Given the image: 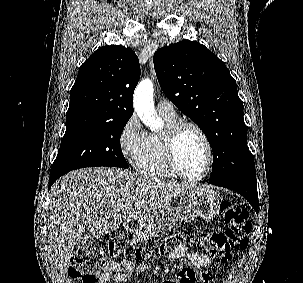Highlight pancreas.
<instances>
[{
	"instance_id": "obj_1",
	"label": "pancreas",
	"mask_w": 303,
	"mask_h": 283,
	"mask_svg": "<svg viewBox=\"0 0 303 283\" xmlns=\"http://www.w3.org/2000/svg\"><path fill=\"white\" fill-rule=\"evenodd\" d=\"M137 238H143V239H145V240H148L149 239V236H146V235H144V234H142V233H138L137 235Z\"/></svg>"
}]
</instances>
